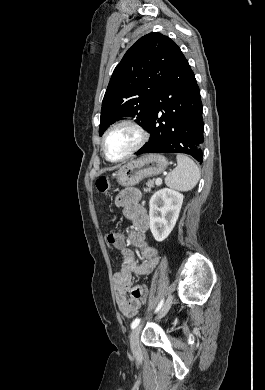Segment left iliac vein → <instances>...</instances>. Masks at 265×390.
Instances as JSON below:
<instances>
[{
	"label": "left iliac vein",
	"mask_w": 265,
	"mask_h": 390,
	"mask_svg": "<svg viewBox=\"0 0 265 390\" xmlns=\"http://www.w3.org/2000/svg\"><path fill=\"white\" fill-rule=\"evenodd\" d=\"M172 296L170 295L168 297V299L166 300L160 314H159V317H163L170 309L171 307V304H172ZM140 333H141V326H138L136 327L131 335H130V347H131V351H132V354L134 356H138L140 354V345H139V337H140Z\"/></svg>",
	"instance_id": "obj_1"
}]
</instances>
